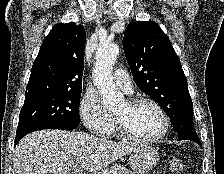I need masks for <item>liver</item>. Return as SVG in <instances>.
<instances>
[{
    "mask_svg": "<svg viewBox=\"0 0 224 174\" xmlns=\"http://www.w3.org/2000/svg\"><path fill=\"white\" fill-rule=\"evenodd\" d=\"M140 145L113 142L83 132L37 131L17 144L14 174H96Z\"/></svg>",
    "mask_w": 224,
    "mask_h": 174,
    "instance_id": "liver-1",
    "label": "liver"
}]
</instances>
